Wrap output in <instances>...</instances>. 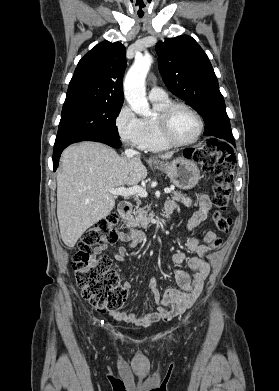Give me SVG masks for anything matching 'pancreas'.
<instances>
[{
	"label": "pancreas",
	"mask_w": 279,
	"mask_h": 391,
	"mask_svg": "<svg viewBox=\"0 0 279 391\" xmlns=\"http://www.w3.org/2000/svg\"><path fill=\"white\" fill-rule=\"evenodd\" d=\"M171 197L174 201H180L186 206L192 205V200L186 195L182 194L180 191H174ZM149 210L150 206L137 208L136 211H134V217L128 220L129 225L146 229L154 217V214L149 213Z\"/></svg>",
	"instance_id": "cf45deb5"
}]
</instances>
